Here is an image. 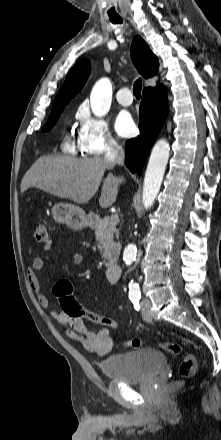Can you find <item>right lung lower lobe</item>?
Segmentation results:
<instances>
[{"instance_id":"1","label":"right lung lower lobe","mask_w":221,"mask_h":440,"mask_svg":"<svg viewBox=\"0 0 221 440\" xmlns=\"http://www.w3.org/2000/svg\"><path fill=\"white\" fill-rule=\"evenodd\" d=\"M167 114L165 88L158 85L144 89L139 114L140 135L125 144L126 165L131 172L142 168Z\"/></svg>"}]
</instances>
